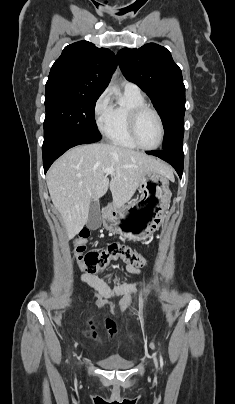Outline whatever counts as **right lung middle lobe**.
<instances>
[{"mask_svg": "<svg viewBox=\"0 0 235 404\" xmlns=\"http://www.w3.org/2000/svg\"><path fill=\"white\" fill-rule=\"evenodd\" d=\"M98 98L99 95L83 94L62 87L46 88L44 137L74 132L99 141L101 135L94 119Z\"/></svg>", "mask_w": 235, "mask_h": 404, "instance_id": "right-lung-middle-lobe-1", "label": "right lung middle lobe"}]
</instances>
